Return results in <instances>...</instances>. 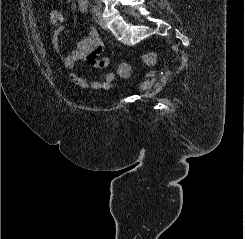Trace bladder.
I'll return each mask as SVG.
<instances>
[{
	"label": "bladder",
	"instance_id": "bladder-1",
	"mask_svg": "<svg viewBox=\"0 0 245 239\" xmlns=\"http://www.w3.org/2000/svg\"><path fill=\"white\" fill-rule=\"evenodd\" d=\"M152 85H153V82L151 81H142L136 84L134 90L137 92H143V91L148 90L150 87H152Z\"/></svg>",
	"mask_w": 245,
	"mask_h": 239
}]
</instances>
